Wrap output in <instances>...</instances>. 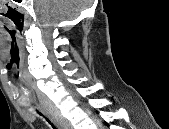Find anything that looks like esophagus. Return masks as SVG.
Segmentation results:
<instances>
[{"label": "esophagus", "instance_id": "esophagus-1", "mask_svg": "<svg viewBox=\"0 0 169 129\" xmlns=\"http://www.w3.org/2000/svg\"><path fill=\"white\" fill-rule=\"evenodd\" d=\"M37 109L42 112L46 117H48L52 122H53V119L51 118L50 115H48V113L40 106H37Z\"/></svg>", "mask_w": 169, "mask_h": 129}]
</instances>
